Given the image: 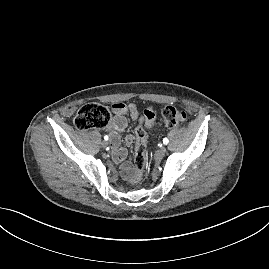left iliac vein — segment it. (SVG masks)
Listing matches in <instances>:
<instances>
[{"label":"left iliac vein","instance_id":"1","mask_svg":"<svg viewBox=\"0 0 269 269\" xmlns=\"http://www.w3.org/2000/svg\"><path fill=\"white\" fill-rule=\"evenodd\" d=\"M165 154H166V150L164 148H161L160 150L157 151L155 159L160 160L161 158L165 156Z\"/></svg>","mask_w":269,"mask_h":269}]
</instances>
